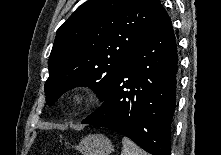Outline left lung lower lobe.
<instances>
[{
	"label": "left lung lower lobe",
	"mask_w": 221,
	"mask_h": 155,
	"mask_svg": "<svg viewBox=\"0 0 221 155\" xmlns=\"http://www.w3.org/2000/svg\"><path fill=\"white\" fill-rule=\"evenodd\" d=\"M178 58L165 9L137 44L104 103L83 124L119 132L152 155H170Z\"/></svg>",
	"instance_id": "1"
}]
</instances>
